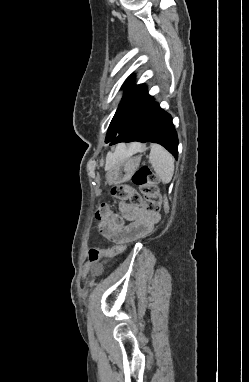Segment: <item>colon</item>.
Segmentation results:
<instances>
[{
    "label": "colon",
    "instance_id": "obj_1",
    "mask_svg": "<svg viewBox=\"0 0 249 382\" xmlns=\"http://www.w3.org/2000/svg\"><path fill=\"white\" fill-rule=\"evenodd\" d=\"M135 186L139 187L140 195L131 185H117L111 189L112 196L118 201L119 206L129 203L133 206H140L150 213H159L163 209V198L157 186L155 174L147 166H142L135 171L132 177ZM96 216L112 220L120 225L121 220L113 214L110 207L102 203L98 206ZM126 241H119L109 248L92 247L88 251V260L92 263L101 258L115 257L124 252Z\"/></svg>",
    "mask_w": 249,
    "mask_h": 382
}]
</instances>
